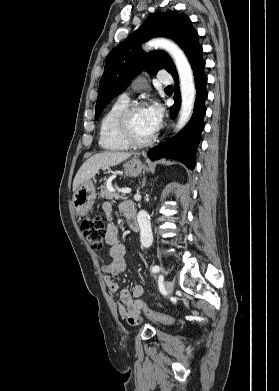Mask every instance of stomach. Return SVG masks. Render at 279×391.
Listing matches in <instances>:
<instances>
[{"label": "stomach", "mask_w": 279, "mask_h": 391, "mask_svg": "<svg viewBox=\"0 0 279 391\" xmlns=\"http://www.w3.org/2000/svg\"><path fill=\"white\" fill-rule=\"evenodd\" d=\"M124 172L127 176L137 177L142 172L147 171V167L143 162L135 157L123 164ZM106 169V167H104ZM96 199V190L93 182L87 181L80 185L73 195V208L78 216H86L92 209Z\"/></svg>", "instance_id": "1"}]
</instances>
